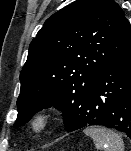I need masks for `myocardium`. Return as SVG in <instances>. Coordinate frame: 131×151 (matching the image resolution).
<instances>
[{"label": "myocardium", "mask_w": 131, "mask_h": 151, "mask_svg": "<svg viewBox=\"0 0 131 151\" xmlns=\"http://www.w3.org/2000/svg\"><path fill=\"white\" fill-rule=\"evenodd\" d=\"M56 121V111L51 108H43L32 114L27 122V128L32 135L41 136L46 133Z\"/></svg>", "instance_id": "obj_1"}]
</instances>
